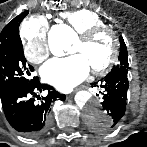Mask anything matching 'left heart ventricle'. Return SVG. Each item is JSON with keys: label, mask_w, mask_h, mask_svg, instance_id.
Returning a JSON list of instances; mask_svg holds the SVG:
<instances>
[{"label": "left heart ventricle", "mask_w": 147, "mask_h": 147, "mask_svg": "<svg viewBox=\"0 0 147 147\" xmlns=\"http://www.w3.org/2000/svg\"><path fill=\"white\" fill-rule=\"evenodd\" d=\"M111 52L110 38L107 35L98 37L93 44L84 46L79 40L76 42L73 53L82 55L90 67L103 65Z\"/></svg>", "instance_id": "left-heart-ventricle-1"}]
</instances>
